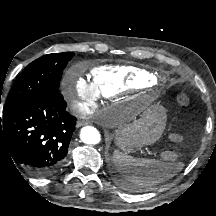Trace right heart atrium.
<instances>
[{
    "label": "right heart atrium",
    "mask_w": 216,
    "mask_h": 216,
    "mask_svg": "<svg viewBox=\"0 0 216 216\" xmlns=\"http://www.w3.org/2000/svg\"><path fill=\"white\" fill-rule=\"evenodd\" d=\"M62 88L71 107L77 113L87 114L96 107L98 94L84 77L69 73L62 82Z\"/></svg>",
    "instance_id": "right-heart-atrium-1"
}]
</instances>
